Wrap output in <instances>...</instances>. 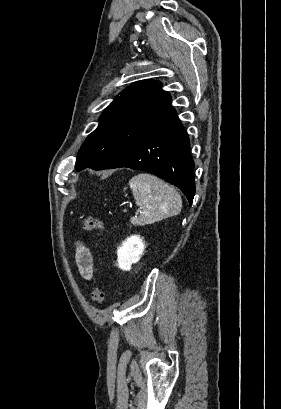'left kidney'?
<instances>
[{
  "label": "left kidney",
  "mask_w": 281,
  "mask_h": 409,
  "mask_svg": "<svg viewBox=\"0 0 281 409\" xmlns=\"http://www.w3.org/2000/svg\"><path fill=\"white\" fill-rule=\"evenodd\" d=\"M145 243H143L139 235H133L128 237L126 241H123L121 247H118L117 261L119 269L122 271H130L131 265L138 263L141 259V255H144Z\"/></svg>",
  "instance_id": "1"
}]
</instances>
